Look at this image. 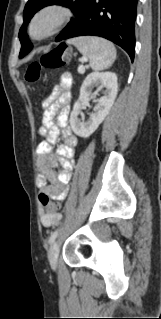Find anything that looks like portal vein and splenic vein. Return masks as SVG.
I'll use <instances>...</instances> for the list:
<instances>
[{"label":"portal vein and splenic vein","mask_w":161,"mask_h":319,"mask_svg":"<svg viewBox=\"0 0 161 319\" xmlns=\"http://www.w3.org/2000/svg\"><path fill=\"white\" fill-rule=\"evenodd\" d=\"M78 72L81 73V74L84 73L85 72V68L83 66H79L78 67Z\"/></svg>","instance_id":"1"}]
</instances>
